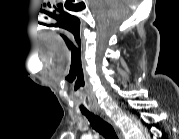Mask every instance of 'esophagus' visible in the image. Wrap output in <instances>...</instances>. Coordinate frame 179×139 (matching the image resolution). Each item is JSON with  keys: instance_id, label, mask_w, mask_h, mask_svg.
<instances>
[{"instance_id": "34e87169", "label": "esophagus", "mask_w": 179, "mask_h": 139, "mask_svg": "<svg viewBox=\"0 0 179 139\" xmlns=\"http://www.w3.org/2000/svg\"><path fill=\"white\" fill-rule=\"evenodd\" d=\"M108 121H109V123L114 127V129L116 130L119 139L123 138V135H122L121 131L118 130L117 126H115L114 123H113L111 120H108Z\"/></svg>"}]
</instances>
